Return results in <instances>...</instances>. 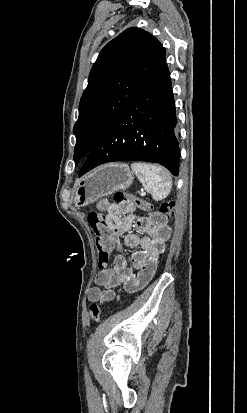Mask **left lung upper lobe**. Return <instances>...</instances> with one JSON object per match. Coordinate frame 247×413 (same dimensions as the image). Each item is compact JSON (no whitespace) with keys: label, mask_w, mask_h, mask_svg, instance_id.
Returning <instances> with one entry per match:
<instances>
[{"label":"left lung upper lobe","mask_w":247,"mask_h":413,"mask_svg":"<svg viewBox=\"0 0 247 413\" xmlns=\"http://www.w3.org/2000/svg\"><path fill=\"white\" fill-rule=\"evenodd\" d=\"M165 53L155 37L136 27L126 29L101 50L90 71L73 129L76 164L158 72L166 61Z\"/></svg>","instance_id":"obj_1"}]
</instances>
